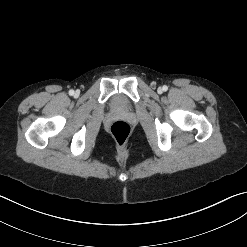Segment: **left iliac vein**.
Returning <instances> with one entry per match:
<instances>
[{"instance_id": "1", "label": "left iliac vein", "mask_w": 247, "mask_h": 247, "mask_svg": "<svg viewBox=\"0 0 247 247\" xmlns=\"http://www.w3.org/2000/svg\"><path fill=\"white\" fill-rule=\"evenodd\" d=\"M157 91H158V93H162L163 89L161 87H159Z\"/></svg>"}]
</instances>
